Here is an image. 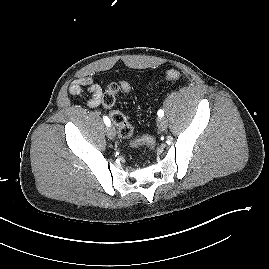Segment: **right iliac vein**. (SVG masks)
Returning <instances> with one entry per match:
<instances>
[{
	"label": "right iliac vein",
	"instance_id": "right-iliac-vein-1",
	"mask_svg": "<svg viewBox=\"0 0 269 269\" xmlns=\"http://www.w3.org/2000/svg\"><path fill=\"white\" fill-rule=\"evenodd\" d=\"M106 134L110 139H114L116 137V131L112 126H108L106 129Z\"/></svg>",
	"mask_w": 269,
	"mask_h": 269
}]
</instances>
